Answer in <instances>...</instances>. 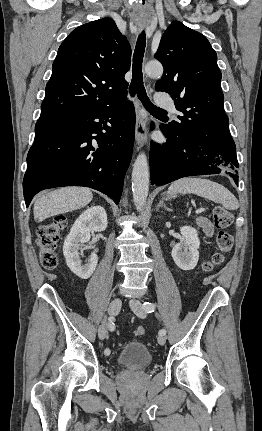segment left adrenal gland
I'll return each mask as SVG.
<instances>
[{
	"label": "left adrenal gland",
	"mask_w": 262,
	"mask_h": 431,
	"mask_svg": "<svg viewBox=\"0 0 262 431\" xmlns=\"http://www.w3.org/2000/svg\"><path fill=\"white\" fill-rule=\"evenodd\" d=\"M160 207L165 208V210L171 211V209H170V208H168V207L166 206V204L164 203V201H163V200H161V201L157 204L156 210H159V208H160Z\"/></svg>",
	"instance_id": "obj_1"
}]
</instances>
